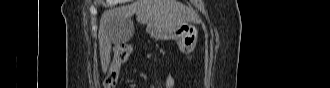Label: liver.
Segmentation results:
<instances>
[{"label":"liver","mask_w":330,"mask_h":88,"mask_svg":"<svg viewBox=\"0 0 330 88\" xmlns=\"http://www.w3.org/2000/svg\"><path fill=\"white\" fill-rule=\"evenodd\" d=\"M134 14L139 23L147 24L149 32L154 27L178 25L196 19L193 11L178 0H135L130 5L104 11L98 31L100 59L104 72L110 60L112 43L117 40L114 23L131 21L130 18Z\"/></svg>","instance_id":"liver-1"}]
</instances>
